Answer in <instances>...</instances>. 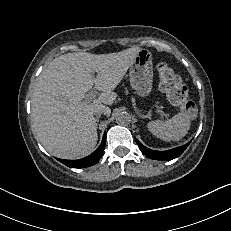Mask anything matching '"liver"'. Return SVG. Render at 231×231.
<instances>
[{
  "instance_id": "6515ba94",
  "label": "liver",
  "mask_w": 231,
  "mask_h": 231,
  "mask_svg": "<svg viewBox=\"0 0 231 231\" xmlns=\"http://www.w3.org/2000/svg\"><path fill=\"white\" fill-rule=\"evenodd\" d=\"M141 50L132 47L121 52L92 54L67 53L54 58L41 72L31 98V119L39 142L53 156L77 159L89 155L97 144L94 111L106 107L111 114L117 95L113 90ZM92 72H97L94 78ZM102 93L86 101L93 87Z\"/></svg>"
}]
</instances>
